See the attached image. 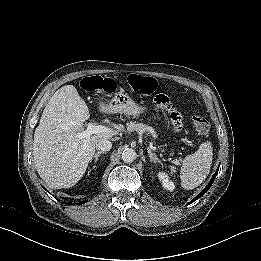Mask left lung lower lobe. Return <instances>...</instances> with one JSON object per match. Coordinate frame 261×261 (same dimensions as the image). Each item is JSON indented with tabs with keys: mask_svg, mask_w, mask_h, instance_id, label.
Segmentation results:
<instances>
[{
	"mask_svg": "<svg viewBox=\"0 0 261 261\" xmlns=\"http://www.w3.org/2000/svg\"><path fill=\"white\" fill-rule=\"evenodd\" d=\"M218 170H219V168H218ZM218 170H217V172H218ZM217 172L211 178V180H210L209 184L206 186V188L198 196H196L195 199H193L190 203H192L195 200H197L198 198L202 197L208 191V189L211 187V185H212V183H213V181H214V179H215V177L217 175Z\"/></svg>",
	"mask_w": 261,
	"mask_h": 261,
	"instance_id": "0a47b994",
	"label": "left lung lower lobe"
}]
</instances>
